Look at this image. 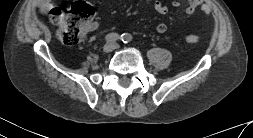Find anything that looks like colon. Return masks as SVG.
Wrapping results in <instances>:
<instances>
[{"label":"colon","mask_w":253,"mask_h":138,"mask_svg":"<svg viewBox=\"0 0 253 138\" xmlns=\"http://www.w3.org/2000/svg\"><path fill=\"white\" fill-rule=\"evenodd\" d=\"M49 13L52 21L58 26L57 35L60 41L65 45H75L90 29L94 9L89 3L80 1L69 8L54 7ZM185 40L188 44H198L201 37L190 34Z\"/></svg>","instance_id":"colon-1"}]
</instances>
